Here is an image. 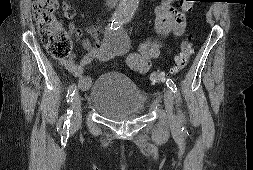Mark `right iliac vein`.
Returning <instances> with one entry per match:
<instances>
[{"mask_svg": "<svg viewBox=\"0 0 253 170\" xmlns=\"http://www.w3.org/2000/svg\"><path fill=\"white\" fill-rule=\"evenodd\" d=\"M72 125L78 126L81 123L82 118V104L81 97L78 92H76L72 98Z\"/></svg>", "mask_w": 253, "mask_h": 170, "instance_id": "obj_1", "label": "right iliac vein"}]
</instances>
